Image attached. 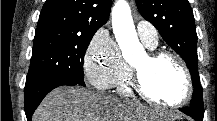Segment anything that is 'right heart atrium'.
Returning <instances> with one entry per match:
<instances>
[{
  "label": "right heart atrium",
  "instance_id": "d8ad5b80",
  "mask_svg": "<svg viewBox=\"0 0 217 121\" xmlns=\"http://www.w3.org/2000/svg\"><path fill=\"white\" fill-rule=\"evenodd\" d=\"M125 70L126 64L114 39L106 32L97 33L84 55V71L88 82L97 89H110Z\"/></svg>",
  "mask_w": 217,
  "mask_h": 121
}]
</instances>
